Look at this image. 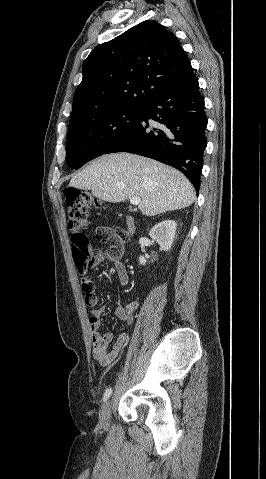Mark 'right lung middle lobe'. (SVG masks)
Masks as SVG:
<instances>
[{
  "instance_id": "right-lung-middle-lobe-1",
  "label": "right lung middle lobe",
  "mask_w": 266,
  "mask_h": 479,
  "mask_svg": "<svg viewBox=\"0 0 266 479\" xmlns=\"http://www.w3.org/2000/svg\"><path fill=\"white\" fill-rule=\"evenodd\" d=\"M143 107L120 108L69 122L66 162L78 169L103 155L140 119Z\"/></svg>"
}]
</instances>
